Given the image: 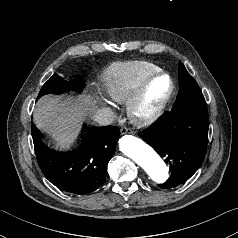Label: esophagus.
<instances>
[{
    "instance_id": "1",
    "label": "esophagus",
    "mask_w": 238,
    "mask_h": 238,
    "mask_svg": "<svg viewBox=\"0 0 238 238\" xmlns=\"http://www.w3.org/2000/svg\"><path fill=\"white\" fill-rule=\"evenodd\" d=\"M120 133H121L122 135L127 134V133H132V130H131L130 128H127V127H122V128L120 129Z\"/></svg>"
}]
</instances>
